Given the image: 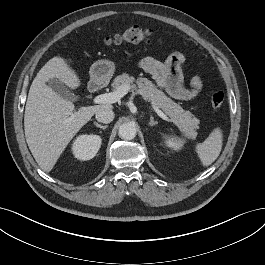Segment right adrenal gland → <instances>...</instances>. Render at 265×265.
<instances>
[{
    "label": "right adrenal gland",
    "instance_id": "2a0ac1e0",
    "mask_svg": "<svg viewBox=\"0 0 265 265\" xmlns=\"http://www.w3.org/2000/svg\"><path fill=\"white\" fill-rule=\"evenodd\" d=\"M94 125L96 126V127H98V128H100V129H102V130H105L108 126L107 125H101V124H99V123H97L96 121L94 122Z\"/></svg>",
    "mask_w": 265,
    "mask_h": 265
}]
</instances>
